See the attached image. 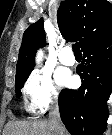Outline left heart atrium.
Wrapping results in <instances>:
<instances>
[{"label":"left heart atrium","instance_id":"1","mask_svg":"<svg viewBox=\"0 0 112 135\" xmlns=\"http://www.w3.org/2000/svg\"><path fill=\"white\" fill-rule=\"evenodd\" d=\"M55 78L57 83L61 86H69L73 83V77L70 72L65 69L57 70Z\"/></svg>","mask_w":112,"mask_h":135}]
</instances>
